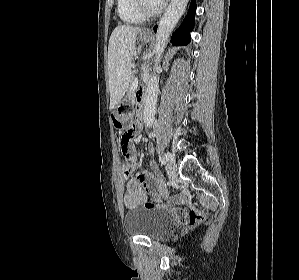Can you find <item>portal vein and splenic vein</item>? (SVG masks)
<instances>
[{
	"label": "portal vein and splenic vein",
	"instance_id": "18ae733b",
	"mask_svg": "<svg viewBox=\"0 0 299 280\" xmlns=\"http://www.w3.org/2000/svg\"><path fill=\"white\" fill-rule=\"evenodd\" d=\"M138 86V78H134L133 83L131 85V89L135 90Z\"/></svg>",
	"mask_w": 299,
	"mask_h": 280
}]
</instances>
